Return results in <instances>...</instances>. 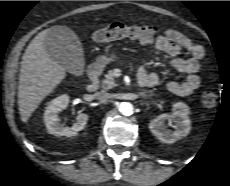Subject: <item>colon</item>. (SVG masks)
Instances as JSON below:
<instances>
[{"label": "colon", "mask_w": 230, "mask_h": 186, "mask_svg": "<svg viewBox=\"0 0 230 186\" xmlns=\"http://www.w3.org/2000/svg\"><path fill=\"white\" fill-rule=\"evenodd\" d=\"M157 29L154 26H137L123 22H113L107 27L94 31L91 38L95 42H109L120 39H136L141 43L150 44L154 41ZM202 105L206 108H213L218 102L215 91L206 90L201 96Z\"/></svg>", "instance_id": "obj_1"}]
</instances>
